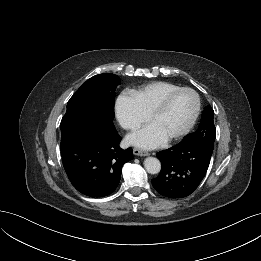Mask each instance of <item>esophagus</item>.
I'll return each mask as SVG.
<instances>
[{
  "instance_id": "1",
  "label": "esophagus",
  "mask_w": 261,
  "mask_h": 261,
  "mask_svg": "<svg viewBox=\"0 0 261 261\" xmlns=\"http://www.w3.org/2000/svg\"><path fill=\"white\" fill-rule=\"evenodd\" d=\"M133 153H134V155H136V156H148V155H149L148 152H145V151H143V150H141V149H138V148H134V149H133Z\"/></svg>"
}]
</instances>
